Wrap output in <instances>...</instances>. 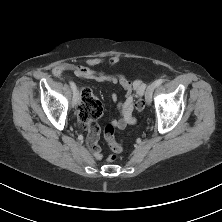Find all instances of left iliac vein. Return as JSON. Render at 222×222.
Segmentation results:
<instances>
[{
  "label": "left iliac vein",
  "instance_id": "left-iliac-vein-1",
  "mask_svg": "<svg viewBox=\"0 0 222 222\" xmlns=\"http://www.w3.org/2000/svg\"><path fill=\"white\" fill-rule=\"evenodd\" d=\"M155 89L154 83L150 84L145 92V101L149 105L152 102L153 91Z\"/></svg>",
  "mask_w": 222,
  "mask_h": 222
}]
</instances>
